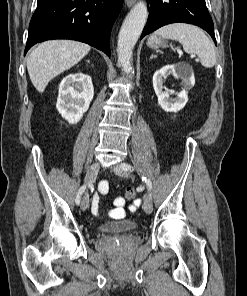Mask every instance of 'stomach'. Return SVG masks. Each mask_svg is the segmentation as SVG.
<instances>
[{"mask_svg": "<svg viewBox=\"0 0 247 296\" xmlns=\"http://www.w3.org/2000/svg\"><path fill=\"white\" fill-rule=\"evenodd\" d=\"M147 45L153 49H159L166 46V42L159 36L152 35L147 41Z\"/></svg>", "mask_w": 247, "mask_h": 296, "instance_id": "1", "label": "stomach"}]
</instances>
